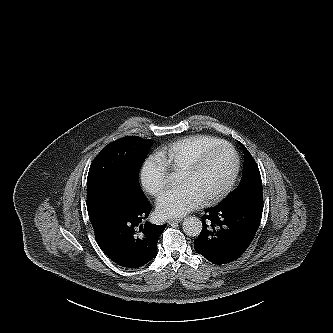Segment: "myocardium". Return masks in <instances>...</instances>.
<instances>
[{
  "label": "myocardium",
  "instance_id": "1",
  "mask_svg": "<svg viewBox=\"0 0 333 333\" xmlns=\"http://www.w3.org/2000/svg\"><path fill=\"white\" fill-rule=\"evenodd\" d=\"M224 147L229 148L233 152L235 157V166L226 184L216 193L203 199L204 203L206 204H211L224 198L226 195L230 193V191L232 190L237 181L241 169V158L239 152L234 147V145H232L227 141H221L203 150L188 165H186L183 169L180 170V174H191L197 172L204 165V163L211 154Z\"/></svg>",
  "mask_w": 333,
  "mask_h": 333
}]
</instances>
